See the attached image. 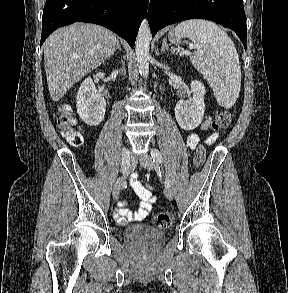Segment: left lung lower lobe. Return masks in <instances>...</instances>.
Returning a JSON list of instances; mask_svg holds the SVG:
<instances>
[{
  "instance_id": "1",
  "label": "left lung lower lobe",
  "mask_w": 288,
  "mask_h": 293,
  "mask_svg": "<svg viewBox=\"0 0 288 293\" xmlns=\"http://www.w3.org/2000/svg\"><path fill=\"white\" fill-rule=\"evenodd\" d=\"M187 19H207L232 29L246 49L243 0H150L148 22L155 36L161 28Z\"/></svg>"
}]
</instances>
